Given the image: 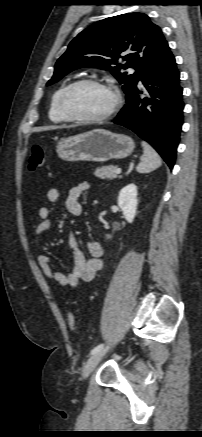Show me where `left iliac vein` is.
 Instances as JSON below:
<instances>
[{
	"instance_id": "left-iliac-vein-1",
	"label": "left iliac vein",
	"mask_w": 202,
	"mask_h": 437,
	"mask_svg": "<svg viewBox=\"0 0 202 437\" xmlns=\"http://www.w3.org/2000/svg\"><path fill=\"white\" fill-rule=\"evenodd\" d=\"M106 353V349H102L99 352L92 354V356L87 360L84 368H83V377L87 378L90 373L96 368L104 354Z\"/></svg>"
}]
</instances>
